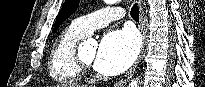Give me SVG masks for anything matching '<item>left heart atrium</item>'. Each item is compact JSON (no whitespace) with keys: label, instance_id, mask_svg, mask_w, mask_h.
<instances>
[{"label":"left heart atrium","instance_id":"left-heart-atrium-1","mask_svg":"<svg viewBox=\"0 0 205 87\" xmlns=\"http://www.w3.org/2000/svg\"><path fill=\"white\" fill-rule=\"evenodd\" d=\"M138 50L139 40L132 30L120 29L108 32L100 42L94 67L101 74L117 75L131 66Z\"/></svg>","mask_w":205,"mask_h":87}]
</instances>
